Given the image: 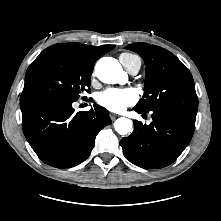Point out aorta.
I'll use <instances>...</instances> for the list:
<instances>
[{
	"instance_id": "1",
	"label": "aorta",
	"mask_w": 221,
	"mask_h": 221,
	"mask_svg": "<svg viewBox=\"0 0 221 221\" xmlns=\"http://www.w3.org/2000/svg\"><path fill=\"white\" fill-rule=\"evenodd\" d=\"M95 73L99 80L108 84L118 83L124 77L121 65L111 57L100 59L95 65ZM114 128L120 135H126L132 129V121L124 117L118 118Z\"/></svg>"
}]
</instances>
